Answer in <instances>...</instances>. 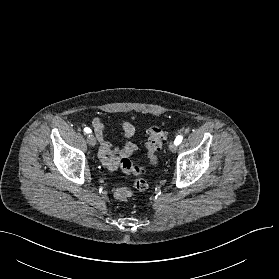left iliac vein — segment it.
Wrapping results in <instances>:
<instances>
[{
	"instance_id": "4c4485c4",
	"label": "left iliac vein",
	"mask_w": 279,
	"mask_h": 279,
	"mask_svg": "<svg viewBox=\"0 0 279 279\" xmlns=\"http://www.w3.org/2000/svg\"><path fill=\"white\" fill-rule=\"evenodd\" d=\"M169 150L171 151V152H176V150H177V145L174 143V142H171L170 144H169Z\"/></svg>"
}]
</instances>
